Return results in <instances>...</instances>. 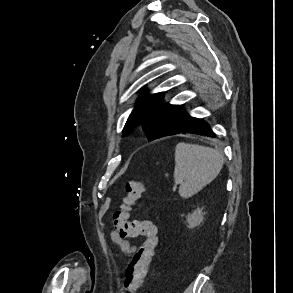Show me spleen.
<instances>
[{
	"mask_svg": "<svg viewBox=\"0 0 293 293\" xmlns=\"http://www.w3.org/2000/svg\"><path fill=\"white\" fill-rule=\"evenodd\" d=\"M224 156L217 149L180 142L175 148L174 182L179 195L190 198L220 173Z\"/></svg>",
	"mask_w": 293,
	"mask_h": 293,
	"instance_id": "1",
	"label": "spleen"
}]
</instances>
